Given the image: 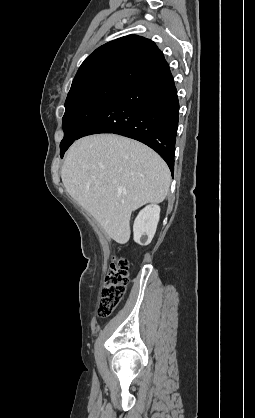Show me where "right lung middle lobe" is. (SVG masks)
Wrapping results in <instances>:
<instances>
[{
  "label": "right lung middle lobe",
  "mask_w": 255,
  "mask_h": 418,
  "mask_svg": "<svg viewBox=\"0 0 255 418\" xmlns=\"http://www.w3.org/2000/svg\"><path fill=\"white\" fill-rule=\"evenodd\" d=\"M126 86L119 83L98 81L79 85L69 91L63 116L64 138L60 153L69 147L97 112Z\"/></svg>",
  "instance_id": "dd1d6c3e"
}]
</instances>
